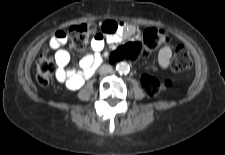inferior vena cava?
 Returning a JSON list of instances; mask_svg holds the SVG:
<instances>
[{"mask_svg": "<svg viewBox=\"0 0 225 155\" xmlns=\"http://www.w3.org/2000/svg\"><path fill=\"white\" fill-rule=\"evenodd\" d=\"M112 71L113 69L110 65H103L99 68L100 74H107V73H111Z\"/></svg>", "mask_w": 225, "mask_h": 155, "instance_id": "1", "label": "inferior vena cava"}]
</instances>
